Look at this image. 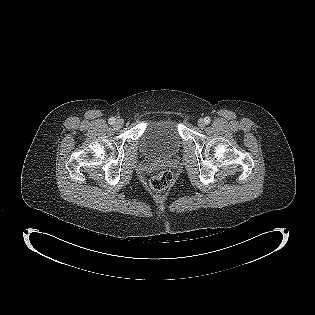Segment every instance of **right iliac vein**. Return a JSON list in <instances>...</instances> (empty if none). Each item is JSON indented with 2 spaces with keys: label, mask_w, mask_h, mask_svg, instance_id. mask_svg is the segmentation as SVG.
Returning <instances> with one entry per match:
<instances>
[{
  "label": "right iliac vein",
  "mask_w": 315,
  "mask_h": 315,
  "mask_svg": "<svg viewBox=\"0 0 315 315\" xmlns=\"http://www.w3.org/2000/svg\"><path fill=\"white\" fill-rule=\"evenodd\" d=\"M122 125H123V120L122 119H117V121L115 122V127L117 128V129H119V128H121L122 127Z\"/></svg>",
  "instance_id": "63e3f726"
}]
</instances>
